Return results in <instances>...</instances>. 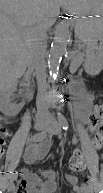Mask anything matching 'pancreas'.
Segmentation results:
<instances>
[{
    "label": "pancreas",
    "instance_id": "pancreas-1",
    "mask_svg": "<svg viewBox=\"0 0 103 193\" xmlns=\"http://www.w3.org/2000/svg\"><path fill=\"white\" fill-rule=\"evenodd\" d=\"M79 57H83V53L80 48L77 49Z\"/></svg>",
    "mask_w": 103,
    "mask_h": 193
}]
</instances>
